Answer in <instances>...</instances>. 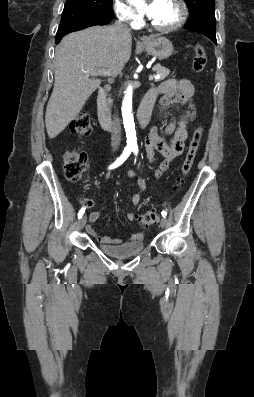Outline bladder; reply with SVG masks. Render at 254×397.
Segmentation results:
<instances>
[{"instance_id":"31cf9c89","label":"bladder","mask_w":254,"mask_h":397,"mask_svg":"<svg viewBox=\"0 0 254 397\" xmlns=\"http://www.w3.org/2000/svg\"><path fill=\"white\" fill-rule=\"evenodd\" d=\"M145 248V245L141 241L137 242H130L116 246H109V245H101L100 250L105 254L118 258L124 259L129 258L141 253Z\"/></svg>"}]
</instances>
